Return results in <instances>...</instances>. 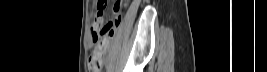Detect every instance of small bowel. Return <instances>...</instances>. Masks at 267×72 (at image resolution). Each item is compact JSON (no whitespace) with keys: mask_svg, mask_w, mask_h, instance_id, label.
I'll list each match as a JSON object with an SVG mask.
<instances>
[{"mask_svg":"<svg viewBox=\"0 0 267 72\" xmlns=\"http://www.w3.org/2000/svg\"><path fill=\"white\" fill-rule=\"evenodd\" d=\"M124 5V2L119 1L115 6H114V19L111 22H115L117 21L118 24L120 22V13H121V9L122 6ZM95 23V30L98 33V36L101 37L103 35V33L101 32L102 28L106 27L109 23H107L105 26H102L103 20L101 17H97L94 21ZM112 39V37H108L105 36L103 39V42H105L106 44H108L110 42V40ZM96 38L93 36V34L91 35V43L95 42Z\"/></svg>","mask_w":267,"mask_h":72,"instance_id":"c3829d8e","label":"small bowel"}]
</instances>
